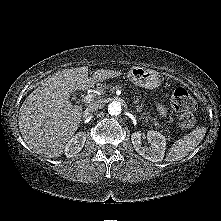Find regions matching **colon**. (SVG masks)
Instances as JSON below:
<instances>
[{
    "instance_id": "1",
    "label": "colon",
    "mask_w": 221,
    "mask_h": 221,
    "mask_svg": "<svg viewBox=\"0 0 221 221\" xmlns=\"http://www.w3.org/2000/svg\"><path fill=\"white\" fill-rule=\"evenodd\" d=\"M173 104L176 109L182 112L180 125L184 129H191L195 126L194 110L196 103L185 88L175 89L173 94Z\"/></svg>"
}]
</instances>
